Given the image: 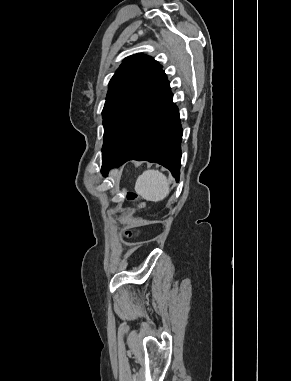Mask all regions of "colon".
Masks as SVG:
<instances>
[{
	"label": "colon",
	"mask_w": 291,
	"mask_h": 381,
	"mask_svg": "<svg viewBox=\"0 0 291 381\" xmlns=\"http://www.w3.org/2000/svg\"><path fill=\"white\" fill-rule=\"evenodd\" d=\"M129 197H130L131 199L133 198V196H132V195H130ZM125 234H126V236H127V237H129V238L133 236V233H132V231H126V233H125Z\"/></svg>",
	"instance_id": "obj_1"
}]
</instances>
